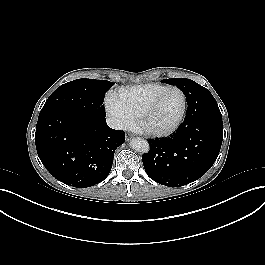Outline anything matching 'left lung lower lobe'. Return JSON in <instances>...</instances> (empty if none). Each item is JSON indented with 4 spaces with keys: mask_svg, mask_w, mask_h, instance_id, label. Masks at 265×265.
Masks as SVG:
<instances>
[{
    "mask_svg": "<svg viewBox=\"0 0 265 265\" xmlns=\"http://www.w3.org/2000/svg\"><path fill=\"white\" fill-rule=\"evenodd\" d=\"M188 109L179 129L165 139H150L142 161L147 175L168 187L187 185L214 164L223 139L222 115L207 90L194 88L186 96Z\"/></svg>",
    "mask_w": 265,
    "mask_h": 265,
    "instance_id": "obj_1",
    "label": "left lung lower lobe"
}]
</instances>
